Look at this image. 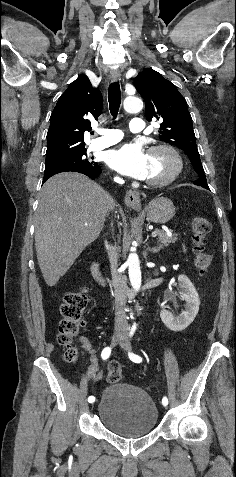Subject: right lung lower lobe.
<instances>
[{
	"mask_svg": "<svg viewBox=\"0 0 236 477\" xmlns=\"http://www.w3.org/2000/svg\"><path fill=\"white\" fill-rule=\"evenodd\" d=\"M73 172H78V173H81V174H84V175L90 177L91 179H95L101 174L102 171H101V168L98 166L97 168H95L92 171H86V170L78 169V170H73ZM53 175H55V174L44 175L43 183Z\"/></svg>",
	"mask_w": 236,
	"mask_h": 477,
	"instance_id": "1",
	"label": "right lung lower lobe"
}]
</instances>
